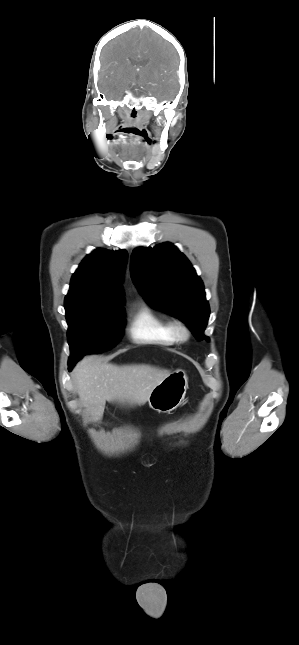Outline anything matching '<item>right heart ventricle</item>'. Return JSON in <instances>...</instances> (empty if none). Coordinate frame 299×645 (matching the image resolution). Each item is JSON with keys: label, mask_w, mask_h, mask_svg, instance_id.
Here are the masks:
<instances>
[{"label": "right heart ventricle", "mask_w": 299, "mask_h": 645, "mask_svg": "<svg viewBox=\"0 0 299 645\" xmlns=\"http://www.w3.org/2000/svg\"><path fill=\"white\" fill-rule=\"evenodd\" d=\"M172 322L159 314L146 302H140L133 311L128 335L139 344L173 345L176 342L172 331Z\"/></svg>", "instance_id": "obj_1"}]
</instances>
